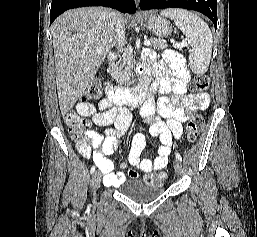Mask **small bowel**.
Wrapping results in <instances>:
<instances>
[{
    "label": "small bowel",
    "instance_id": "1",
    "mask_svg": "<svg viewBox=\"0 0 257 237\" xmlns=\"http://www.w3.org/2000/svg\"><path fill=\"white\" fill-rule=\"evenodd\" d=\"M145 67L148 75L152 71L157 77L151 85V92L160 94L157 100L149 96L140 107L141 117L150 135L159 138L161 143L156 158H142L146 141L143 134L136 133L132 139L128 163L122 165V171H113L114 164L108 156L118 148L121 136L130 126V109L114 104L108 97L101 99L97 107L87 101H80L76 106L79 115L90 117L97 126L107 127L105 137L95 131H88V139L77 142L79 153L93 159L103 173L107 186H119L127 177H137L139 172L149 173L165 168L172 144L183 133L182 124L194 111L206 109L210 104L206 93L187 94L190 73L177 52L167 50L162 62Z\"/></svg>",
    "mask_w": 257,
    "mask_h": 237
}]
</instances>
